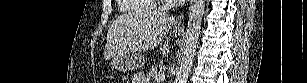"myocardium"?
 Listing matches in <instances>:
<instances>
[{"instance_id":"myocardium-1","label":"myocardium","mask_w":307,"mask_h":83,"mask_svg":"<svg viewBox=\"0 0 307 83\" xmlns=\"http://www.w3.org/2000/svg\"><path fill=\"white\" fill-rule=\"evenodd\" d=\"M172 7H173V5L169 1H158L157 2V8L161 12H166L167 10H169Z\"/></svg>"}]
</instances>
